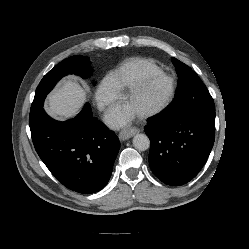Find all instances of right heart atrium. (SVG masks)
<instances>
[{
	"mask_svg": "<svg viewBox=\"0 0 249 249\" xmlns=\"http://www.w3.org/2000/svg\"><path fill=\"white\" fill-rule=\"evenodd\" d=\"M120 98V91L113 85L110 77H106L100 83L96 100L101 109H108L112 104Z\"/></svg>",
	"mask_w": 249,
	"mask_h": 249,
	"instance_id": "d8ad5b80",
	"label": "right heart atrium"
}]
</instances>
